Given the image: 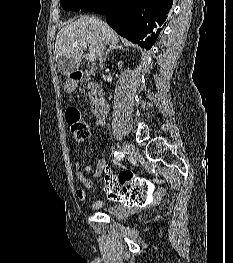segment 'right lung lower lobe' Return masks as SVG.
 Wrapping results in <instances>:
<instances>
[{
	"label": "right lung lower lobe",
	"instance_id": "right-lung-lower-lobe-1",
	"mask_svg": "<svg viewBox=\"0 0 233 263\" xmlns=\"http://www.w3.org/2000/svg\"><path fill=\"white\" fill-rule=\"evenodd\" d=\"M172 0H103L93 12L107 15V23L122 37L149 50Z\"/></svg>",
	"mask_w": 233,
	"mask_h": 263
}]
</instances>
